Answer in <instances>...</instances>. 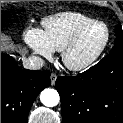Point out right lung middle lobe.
Here are the masks:
<instances>
[{"mask_svg":"<svg viewBox=\"0 0 123 123\" xmlns=\"http://www.w3.org/2000/svg\"><path fill=\"white\" fill-rule=\"evenodd\" d=\"M3 25H4V24H3L2 20H1V27H2Z\"/></svg>","mask_w":123,"mask_h":123,"instance_id":"right-lung-middle-lobe-1","label":"right lung middle lobe"}]
</instances>
